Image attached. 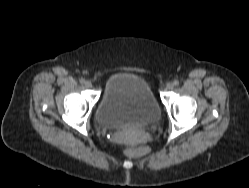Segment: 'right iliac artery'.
Returning a JSON list of instances; mask_svg holds the SVG:
<instances>
[{
    "instance_id": "1",
    "label": "right iliac artery",
    "mask_w": 249,
    "mask_h": 188,
    "mask_svg": "<svg viewBox=\"0 0 249 188\" xmlns=\"http://www.w3.org/2000/svg\"><path fill=\"white\" fill-rule=\"evenodd\" d=\"M79 82H80L81 84H83V83H85V79L80 78V79H79Z\"/></svg>"
}]
</instances>
